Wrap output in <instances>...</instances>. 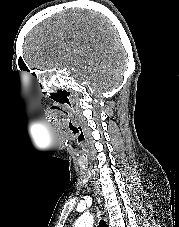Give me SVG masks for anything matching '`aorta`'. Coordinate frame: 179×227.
Wrapping results in <instances>:
<instances>
[{"mask_svg":"<svg viewBox=\"0 0 179 227\" xmlns=\"http://www.w3.org/2000/svg\"><path fill=\"white\" fill-rule=\"evenodd\" d=\"M94 217L89 213H84L75 222L74 227H93Z\"/></svg>","mask_w":179,"mask_h":227,"instance_id":"obj_1","label":"aorta"}]
</instances>
